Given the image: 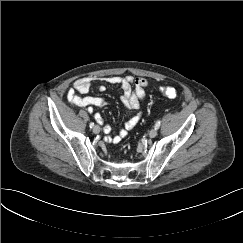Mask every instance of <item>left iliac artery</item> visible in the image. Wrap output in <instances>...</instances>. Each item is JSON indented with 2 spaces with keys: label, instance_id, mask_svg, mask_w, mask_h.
<instances>
[{
  "label": "left iliac artery",
  "instance_id": "left-iliac-artery-1",
  "mask_svg": "<svg viewBox=\"0 0 243 243\" xmlns=\"http://www.w3.org/2000/svg\"><path fill=\"white\" fill-rule=\"evenodd\" d=\"M160 125H161V121L160 120L156 121L155 128L158 129Z\"/></svg>",
  "mask_w": 243,
  "mask_h": 243
}]
</instances>
